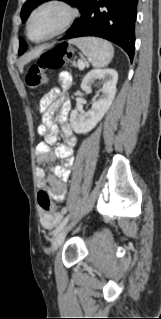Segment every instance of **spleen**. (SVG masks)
<instances>
[{
	"instance_id": "3e777b00",
	"label": "spleen",
	"mask_w": 161,
	"mask_h": 319,
	"mask_svg": "<svg viewBox=\"0 0 161 319\" xmlns=\"http://www.w3.org/2000/svg\"><path fill=\"white\" fill-rule=\"evenodd\" d=\"M92 63L93 67L107 66L113 56L114 48L108 41L96 37H83L72 41Z\"/></svg>"
}]
</instances>
